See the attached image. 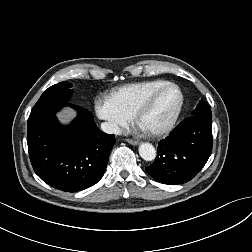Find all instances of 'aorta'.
<instances>
[{"label": "aorta", "mask_w": 252, "mask_h": 252, "mask_svg": "<svg viewBox=\"0 0 252 252\" xmlns=\"http://www.w3.org/2000/svg\"><path fill=\"white\" fill-rule=\"evenodd\" d=\"M139 155L145 161H152L156 157V150L150 143H141L139 146Z\"/></svg>", "instance_id": "obj_1"}]
</instances>
